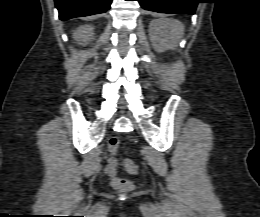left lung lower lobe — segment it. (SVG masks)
Returning <instances> with one entry per match:
<instances>
[{"mask_svg":"<svg viewBox=\"0 0 260 217\" xmlns=\"http://www.w3.org/2000/svg\"><path fill=\"white\" fill-rule=\"evenodd\" d=\"M145 10L159 13L194 14L200 0H137Z\"/></svg>","mask_w":260,"mask_h":217,"instance_id":"1","label":"left lung lower lobe"}]
</instances>
